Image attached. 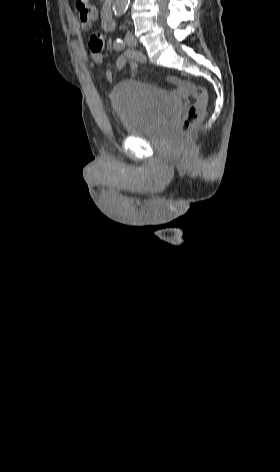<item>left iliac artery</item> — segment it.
Returning a JSON list of instances; mask_svg holds the SVG:
<instances>
[{
  "instance_id": "obj_1",
  "label": "left iliac artery",
  "mask_w": 280,
  "mask_h": 472,
  "mask_svg": "<svg viewBox=\"0 0 280 472\" xmlns=\"http://www.w3.org/2000/svg\"><path fill=\"white\" fill-rule=\"evenodd\" d=\"M114 48L116 50H121V49L124 48V43H123L122 39H119V38L116 39V41L114 42Z\"/></svg>"
}]
</instances>
